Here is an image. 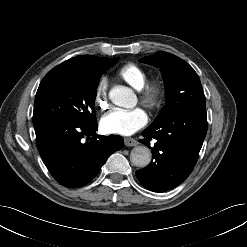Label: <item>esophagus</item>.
Returning a JSON list of instances; mask_svg holds the SVG:
<instances>
[{"instance_id": "1", "label": "esophagus", "mask_w": 247, "mask_h": 247, "mask_svg": "<svg viewBox=\"0 0 247 247\" xmlns=\"http://www.w3.org/2000/svg\"><path fill=\"white\" fill-rule=\"evenodd\" d=\"M124 142H125L126 146H136V145H138V141H136L135 139L130 138V137L124 138Z\"/></svg>"}]
</instances>
